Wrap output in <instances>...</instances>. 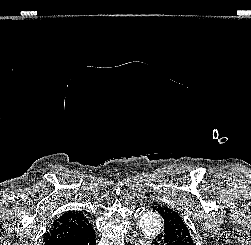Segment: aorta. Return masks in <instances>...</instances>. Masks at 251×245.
I'll use <instances>...</instances> for the list:
<instances>
[{"mask_svg": "<svg viewBox=\"0 0 251 245\" xmlns=\"http://www.w3.org/2000/svg\"><path fill=\"white\" fill-rule=\"evenodd\" d=\"M139 225L145 237L136 245H151L152 239L155 238L163 228L161 217L154 212L143 214L140 218Z\"/></svg>", "mask_w": 251, "mask_h": 245, "instance_id": "762f6f07", "label": "aorta"}]
</instances>
